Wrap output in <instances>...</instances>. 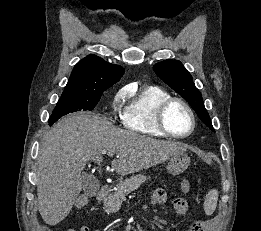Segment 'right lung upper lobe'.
<instances>
[{
  "label": "right lung upper lobe",
  "instance_id": "cb5924a9",
  "mask_svg": "<svg viewBox=\"0 0 261 231\" xmlns=\"http://www.w3.org/2000/svg\"><path fill=\"white\" fill-rule=\"evenodd\" d=\"M123 74L121 66L89 55L75 65L64 92H104L118 82Z\"/></svg>",
  "mask_w": 261,
  "mask_h": 231
}]
</instances>
